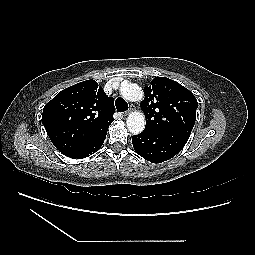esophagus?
Returning a JSON list of instances; mask_svg holds the SVG:
<instances>
[{
	"mask_svg": "<svg viewBox=\"0 0 255 255\" xmlns=\"http://www.w3.org/2000/svg\"><path fill=\"white\" fill-rule=\"evenodd\" d=\"M131 110H133V107L131 106L130 109L126 112L123 113L124 116L129 115V113L131 112Z\"/></svg>",
	"mask_w": 255,
	"mask_h": 255,
	"instance_id": "esophagus-1",
	"label": "esophagus"
}]
</instances>
